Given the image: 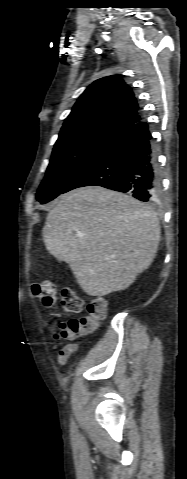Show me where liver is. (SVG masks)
<instances>
[{
  "instance_id": "obj_1",
  "label": "liver",
  "mask_w": 187,
  "mask_h": 479,
  "mask_svg": "<svg viewBox=\"0 0 187 479\" xmlns=\"http://www.w3.org/2000/svg\"><path fill=\"white\" fill-rule=\"evenodd\" d=\"M42 233L46 249L69 264L83 291L104 296L128 288L149 268L161 231L143 203L90 186L60 196Z\"/></svg>"
}]
</instances>
